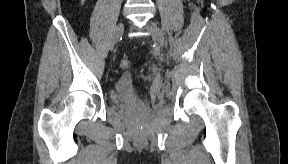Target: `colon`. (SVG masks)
<instances>
[{
    "mask_svg": "<svg viewBox=\"0 0 288 164\" xmlns=\"http://www.w3.org/2000/svg\"><path fill=\"white\" fill-rule=\"evenodd\" d=\"M120 65H121L123 68L129 67V65H130L129 59H128L127 57H123L122 60H121Z\"/></svg>",
    "mask_w": 288,
    "mask_h": 164,
    "instance_id": "5ec220e1",
    "label": "colon"
}]
</instances>
